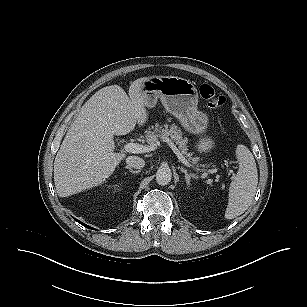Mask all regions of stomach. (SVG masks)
I'll return each instance as SVG.
<instances>
[{
	"mask_svg": "<svg viewBox=\"0 0 307 307\" xmlns=\"http://www.w3.org/2000/svg\"><path fill=\"white\" fill-rule=\"evenodd\" d=\"M144 104L153 108L160 99L167 112L175 116L182 127L193 134L203 135L208 126V115L198 110V92L187 79L176 76H150L142 83ZM212 139L201 137L197 148L200 152L213 147Z\"/></svg>",
	"mask_w": 307,
	"mask_h": 307,
	"instance_id": "1",
	"label": "stomach"
}]
</instances>
